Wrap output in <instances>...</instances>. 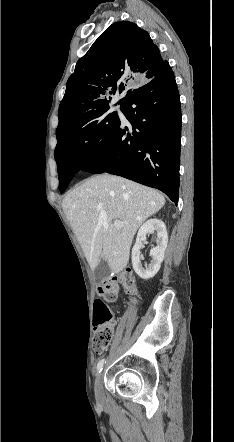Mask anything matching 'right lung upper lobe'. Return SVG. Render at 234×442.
I'll return each mask as SVG.
<instances>
[{
	"instance_id": "obj_1",
	"label": "right lung upper lobe",
	"mask_w": 234,
	"mask_h": 442,
	"mask_svg": "<svg viewBox=\"0 0 234 442\" xmlns=\"http://www.w3.org/2000/svg\"><path fill=\"white\" fill-rule=\"evenodd\" d=\"M166 64L146 31L132 22L112 24L79 59L67 81L58 112V142L81 119L109 107L108 93L125 91L117 102L122 105L138 89L141 80H152Z\"/></svg>"
}]
</instances>
